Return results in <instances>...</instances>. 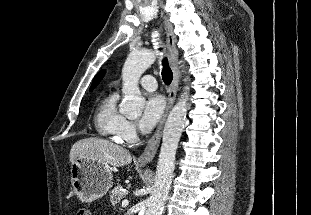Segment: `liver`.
Instances as JSON below:
<instances>
[{
    "instance_id": "1",
    "label": "liver",
    "mask_w": 311,
    "mask_h": 215,
    "mask_svg": "<svg viewBox=\"0 0 311 215\" xmlns=\"http://www.w3.org/2000/svg\"><path fill=\"white\" fill-rule=\"evenodd\" d=\"M78 158L97 160L114 167H121L132 161L127 149L95 137L84 138L73 144L69 154L71 164Z\"/></svg>"
}]
</instances>
